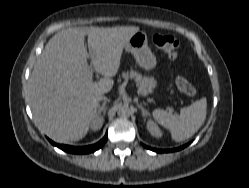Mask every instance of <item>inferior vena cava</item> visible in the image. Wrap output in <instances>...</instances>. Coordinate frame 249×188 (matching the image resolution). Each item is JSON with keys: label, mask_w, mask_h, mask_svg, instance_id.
<instances>
[{"label": "inferior vena cava", "mask_w": 249, "mask_h": 188, "mask_svg": "<svg viewBox=\"0 0 249 188\" xmlns=\"http://www.w3.org/2000/svg\"><path fill=\"white\" fill-rule=\"evenodd\" d=\"M105 99H107V98L104 97V96H101V97L99 98L100 101H104Z\"/></svg>", "instance_id": "602c4592"}]
</instances>
